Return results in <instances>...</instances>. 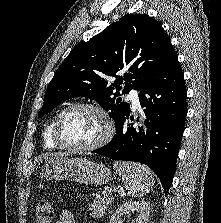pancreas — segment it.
I'll use <instances>...</instances> for the list:
<instances>
[{"label":"pancreas","mask_w":221,"mask_h":223,"mask_svg":"<svg viewBox=\"0 0 221 223\" xmlns=\"http://www.w3.org/2000/svg\"><path fill=\"white\" fill-rule=\"evenodd\" d=\"M113 198L109 193H105L104 196L98 200H94L90 205V215L94 218H101L107 210L109 204H111Z\"/></svg>","instance_id":"cf45deb5"}]
</instances>
